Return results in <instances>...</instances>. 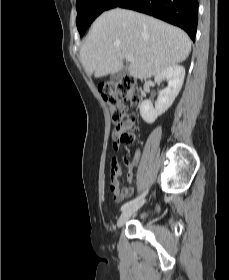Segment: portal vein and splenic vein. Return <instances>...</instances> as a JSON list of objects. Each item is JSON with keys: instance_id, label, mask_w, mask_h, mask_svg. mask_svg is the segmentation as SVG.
<instances>
[{"instance_id": "18ae733b", "label": "portal vein and splenic vein", "mask_w": 229, "mask_h": 280, "mask_svg": "<svg viewBox=\"0 0 229 280\" xmlns=\"http://www.w3.org/2000/svg\"><path fill=\"white\" fill-rule=\"evenodd\" d=\"M126 60H127L128 62H132V61H134V58H133V56L128 55V56H126Z\"/></svg>"}]
</instances>
